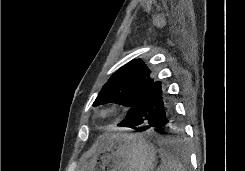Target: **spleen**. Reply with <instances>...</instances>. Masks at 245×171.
<instances>
[{"mask_svg": "<svg viewBox=\"0 0 245 171\" xmlns=\"http://www.w3.org/2000/svg\"><path fill=\"white\" fill-rule=\"evenodd\" d=\"M162 163L157 171H186L183 165L177 158L171 155L168 151L162 149L160 151Z\"/></svg>", "mask_w": 245, "mask_h": 171, "instance_id": "3e777b00", "label": "spleen"}]
</instances>
